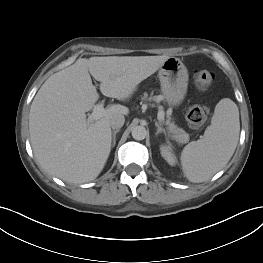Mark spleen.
Returning a JSON list of instances; mask_svg holds the SVG:
<instances>
[{
    "label": "spleen",
    "instance_id": "spleen-1",
    "mask_svg": "<svg viewBox=\"0 0 263 263\" xmlns=\"http://www.w3.org/2000/svg\"><path fill=\"white\" fill-rule=\"evenodd\" d=\"M239 132L237 105L229 98L220 100L203 138L187 144L181 153L186 178L201 183L223 168L236 149Z\"/></svg>",
    "mask_w": 263,
    "mask_h": 263
}]
</instances>
